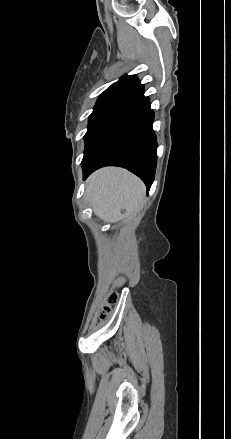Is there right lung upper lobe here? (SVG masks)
<instances>
[{
	"label": "right lung upper lobe",
	"instance_id": "obj_1",
	"mask_svg": "<svg viewBox=\"0 0 231 439\" xmlns=\"http://www.w3.org/2000/svg\"><path fill=\"white\" fill-rule=\"evenodd\" d=\"M143 85L140 84L135 75H126L119 79L118 82L113 83L107 88L99 97L98 100L122 97H137L143 93Z\"/></svg>",
	"mask_w": 231,
	"mask_h": 439
}]
</instances>
